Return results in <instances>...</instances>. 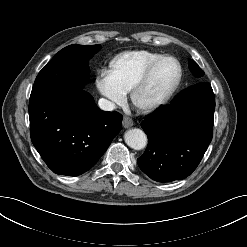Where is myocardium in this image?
<instances>
[{
  "label": "myocardium",
  "instance_id": "myocardium-1",
  "mask_svg": "<svg viewBox=\"0 0 247 247\" xmlns=\"http://www.w3.org/2000/svg\"><path fill=\"white\" fill-rule=\"evenodd\" d=\"M164 60H172L173 62H175L176 66H177L178 73H177V76H176L174 82L160 97H158L154 101H152L148 104H145V105L140 104L138 99H139V95H140L141 91L144 89V87L148 83L154 69L157 67V65L160 62H162ZM182 74H183L182 66H181L180 62L175 57L170 56V55H161L160 57H158L157 59L152 61L147 66V68L144 70V72L141 74V76L138 78V80L136 81V83L132 87V89H131L132 103L134 104V106L136 108H138L139 110H141L143 112H150V111H153V110L159 108L164 103H166L168 101V99L172 96V94L175 92V90L177 89V87L179 86V84L181 82Z\"/></svg>",
  "mask_w": 247,
  "mask_h": 247
}]
</instances>
